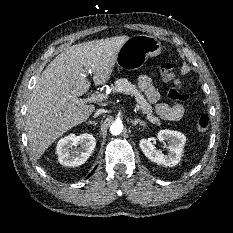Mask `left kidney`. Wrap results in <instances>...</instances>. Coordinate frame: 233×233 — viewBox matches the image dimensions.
<instances>
[{
    "label": "left kidney",
    "instance_id": "left-kidney-1",
    "mask_svg": "<svg viewBox=\"0 0 233 233\" xmlns=\"http://www.w3.org/2000/svg\"><path fill=\"white\" fill-rule=\"evenodd\" d=\"M157 139L159 141L167 140L169 142L168 153L163 154L155 148L151 139H141L140 148L145 156L152 162L165 167L177 165L182 157L186 137L183 133L174 130H161L158 132Z\"/></svg>",
    "mask_w": 233,
    "mask_h": 233
}]
</instances>
